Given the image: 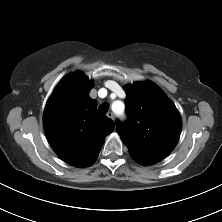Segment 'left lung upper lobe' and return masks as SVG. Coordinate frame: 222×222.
Segmentation results:
<instances>
[{
  "mask_svg": "<svg viewBox=\"0 0 222 222\" xmlns=\"http://www.w3.org/2000/svg\"><path fill=\"white\" fill-rule=\"evenodd\" d=\"M128 120L116 121V130L134 161L155 164L176 146L181 116L165 93L152 82H136L125 86Z\"/></svg>",
  "mask_w": 222,
  "mask_h": 222,
  "instance_id": "obj_1",
  "label": "left lung upper lobe"
}]
</instances>
